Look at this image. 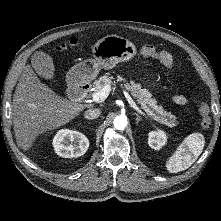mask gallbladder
Listing matches in <instances>:
<instances>
[{
  "label": "gallbladder",
  "mask_w": 221,
  "mask_h": 221,
  "mask_svg": "<svg viewBox=\"0 0 221 221\" xmlns=\"http://www.w3.org/2000/svg\"><path fill=\"white\" fill-rule=\"evenodd\" d=\"M33 65L36 72L40 75H45V79H54L55 67L51 57L45 51H38L33 57Z\"/></svg>",
  "instance_id": "1"
}]
</instances>
